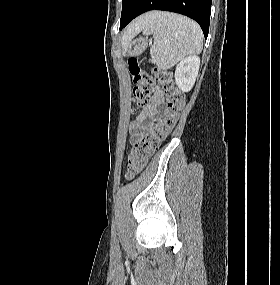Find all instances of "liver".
<instances>
[{"instance_id": "6515ba94", "label": "liver", "mask_w": 280, "mask_h": 285, "mask_svg": "<svg viewBox=\"0 0 280 285\" xmlns=\"http://www.w3.org/2000/svg\"><path fill=\"white\" fill-rule=\"evenodd\" d=\"M153 13H148L140 16L135 21H133L126 29L123 35V41L127 42L131 40L137 33H139L146 22L152 17Z\"/></svg>"}]
</instances>
